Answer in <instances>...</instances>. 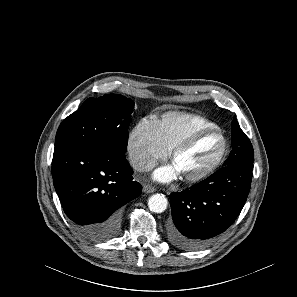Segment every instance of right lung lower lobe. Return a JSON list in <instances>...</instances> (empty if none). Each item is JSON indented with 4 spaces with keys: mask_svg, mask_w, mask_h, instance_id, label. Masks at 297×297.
<instances>
[{
    "mask_svg": "<svg viewBox=\"0 0 297 297\" xmlns=\"http://www.w3.org/2000/svg\"><path fill=\"white\" fill-rule=\"evenodd\" d=\"M124 153L95 144L54 148L52 177L65 214L77 231L105 241L120 231L122 206L141 194Z\"/></svg>",
    "mask_w": 297,
    "mask_h": 297,
    "instance_id": "1",
    "label": "right lung lower lobe"
}]
</instances>
